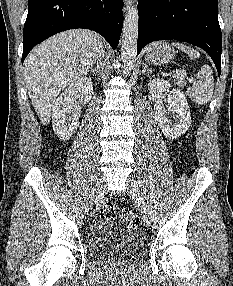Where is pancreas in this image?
<instances>
[{"instance_id": "pancreas-1", "label": "pancreas", "mask_w": 233, "mask_h": 286, "mask_svg": "<svg viewBox=\"0 0 233 286\" xmlns=\"http://www.w3.org/2000/svg\"><path fill=\"white\" fill-rule=\"evenodd\" d=\"M175 83L182 88L186 85V82L182 77H176Z\"/></svg>"}]
</instances>
